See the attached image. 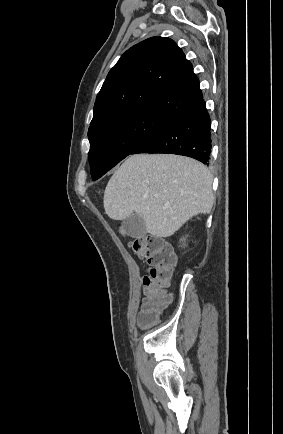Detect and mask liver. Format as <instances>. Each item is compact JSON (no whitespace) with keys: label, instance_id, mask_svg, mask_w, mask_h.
Returning <instances> with one entry per match:
<instances>
[{"label":"liver","instance_id":"liver-1","mask_svg":"<svg viewBox=\"0 0 283 434\" xmlns=\"http://www.w3.org/2000/svg\"><path fill=\"white\" fill-rule=\"evenodd\" d=\"M213 177L200 162L172 154L129 156L110 178L104 209L113 220L133 213L152 236L169 237L214 204Z\"/></svg>","mask_w":283,"mask_h":434}]
</instances>
